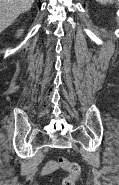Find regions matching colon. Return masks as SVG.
Segmentation results:
<instances>
[{"instance_id": "obj_1", "label": "colon", "mask_w": 119, "mask_h": 185, "mask_svg": "<svg viewBox=\"0 0 119 185\" xmlns=\"http://www.w3.org/2000/svg\"><path fill=\"white\" fill-rule=\"evenodd\" d=\"M58 164L68 172V176L63 180L62 185H76L81 178L80 166L77 163L70 162L66 158H60Z\"/></svg>"}]
</instances>
